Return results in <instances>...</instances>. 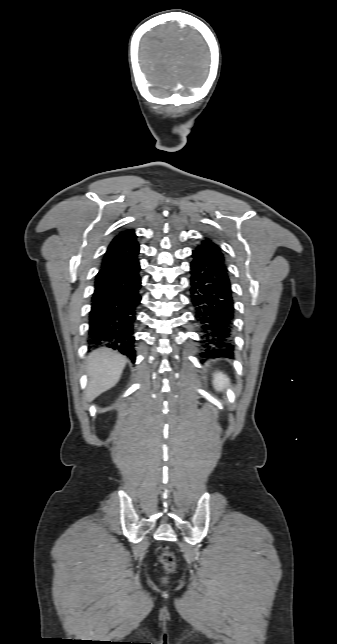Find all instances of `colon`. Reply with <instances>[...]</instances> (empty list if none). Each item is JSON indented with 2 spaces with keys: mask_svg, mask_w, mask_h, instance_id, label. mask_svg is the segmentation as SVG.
Wrapping results in <instances>:
<instances>
[{
  "mask_svg": "<svg viewBox=\"0 0 337 644\" xmlns=\"http://www.w3.org/2000/svg\"><path fill=\"white\" fill-rule=\"evenodd\" d=\"M161 561L167 568V570H172L174 568V556L170 552H163L161 555Z\"/></svg>",
  "mask_w": 337,
  "mask_h": 644,
  "instance_id": "obj_1",
  "label": "colon"
}]
</instances>
